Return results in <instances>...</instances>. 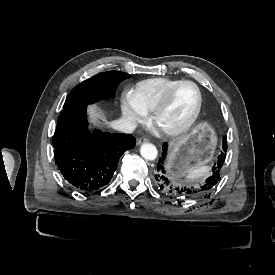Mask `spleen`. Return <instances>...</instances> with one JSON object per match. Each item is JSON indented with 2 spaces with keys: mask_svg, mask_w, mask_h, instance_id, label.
Here are the masks:
<instances>
[{
  "mask_svg": "<svg viewBox=\"0 0 275 275\" xmlns=\"http://www.w3.org/2000/svg\"><path fill=\"white\" fill-rule=\"evenodd\" d=\"M211 166H202L198 169H192L186 176L187 182H195L198 179H204L210 176Z\"/></svg>",
  "mask_w": 275,
  "mask_h": 275,
  "instance_id": "1",
  "label": "spleen"
}]
</instances>
